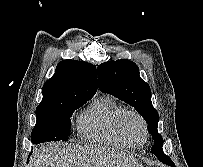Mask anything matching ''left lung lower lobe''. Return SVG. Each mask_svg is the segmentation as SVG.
Masks as SVG:
<instances>
[{"instance_id":"1","label":"left lung lower lobe","mask_w":203,"mask_h":167,"mask_svg":"<svg viewBox=\"0 0 203 167\" xmlns=\"http://www.w3.org/2000/svg\"><path fill=\"white\" fill-rule=\"evenodd\" d=\"M157 152V155H158V158L160 161L166 163L168 162V160H166V158H169L168 156H166L164 153H163V150L162 149H158Z\"/></svg>"}]
</instances>
